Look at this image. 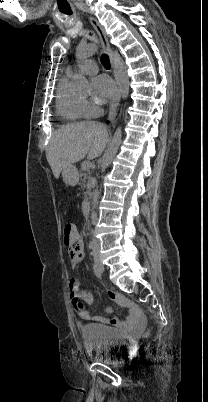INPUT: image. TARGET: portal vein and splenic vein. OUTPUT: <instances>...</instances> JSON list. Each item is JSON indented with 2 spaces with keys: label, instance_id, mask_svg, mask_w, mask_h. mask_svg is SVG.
<instances>
[{
  "label": "portal vein and splenic vein",
  "instance_id": "obj_1",
  "mask_svg": "<svg viewBox=\"0 0 208 402\" xmlns=\"http://www.w3.org/2000/svg\"><path fill=\"white\" fill-rule=\"evenodd\" d=\"M82 168L83 170H89V168H92L91 162H89V160H87V162H83Z\"/></svg>",
  "mask_w": 208,
  "mask_h": 402
}]
</instances>
